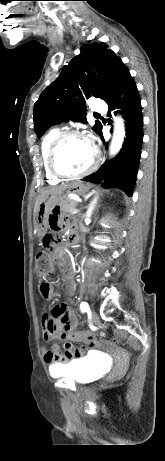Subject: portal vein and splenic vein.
I'll list each match as a JSON object with an SVG mask.
<instances>
[{
  "instance_id": "portal-vein-and-splenic-vein-1",
  "label": "portal vein and splenic vein",
  "mask_w": 165,
  "mask_h": 461,
  "mask_svg": "<svg viewBox=\"0 0 165 461\" xmlns=\"http://www.w3.org/2000/svg\"><path fill=\"white\" fill-rule=\"evenodd\" d=\"M76 200H77V201H80L79 199H76ZM77 212H78L77 209L70 210V213H72V214H75V213H77Z\"/></svg>"
}]
</instances>
